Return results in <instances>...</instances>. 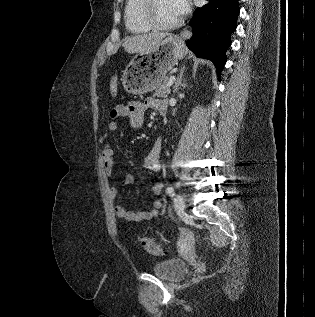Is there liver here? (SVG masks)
<instances>
[{"mask_svg": "<svg viewBox=\"0 0 315 317\" xmlns=\"http://www.w3.org/2000/svg\"><path fill=\"white\" fill-rule=\"evenodd\" d=\"M167 36H171V34L156 32L135 35L127 38L122 46L128 53H149Z\"/></svg>", "mask_w": 315, "mask_h": 317, "instance_id": "6515ba94", "label": "liver"}]
</instances>
